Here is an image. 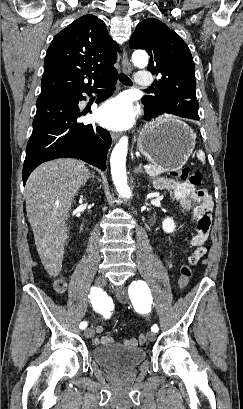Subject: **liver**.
Listing matches in <instances>:
<instances>
[{
	"mask_svg": "<svg viewBox=\"0 0 243 409\" xmlns=\"http://www.w3.org/2000/svg\"><path fill=\"white\" fill-rule=\"evenodd\" d=\"M88 176L84 162L62 158L41 164L27 180V217L41 262L51 276L57 277L61 272L68 212Z\"/></svg>",
	"mask_w": 243,
	"mask_h": 409,
	"instance_id": "1",
	"label": "liver"
}]
</instances>
